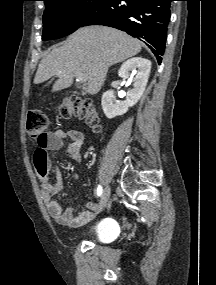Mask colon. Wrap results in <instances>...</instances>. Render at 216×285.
I'll return each instance as SVG.
<instances>
[{"label":"colon","instance_id":"5ec220e1","mask_svg":"<svg viewBox=\"0 0 216 285\" xmlns=\"http://www.w3.org/2000/svg\"><path fill=\"white\" fill-rule=\"evenodd\" d=\"M59 114L64 118L79 115L91 123L95 129L99 128L97 114L89 101L66 102L60 107ZM48 126L49 120L45 113L40 110L28 112L27 133L38 149H43L47 144Z\"/></svg>","mask_w":216,"mask_h":285}]
</instances>
